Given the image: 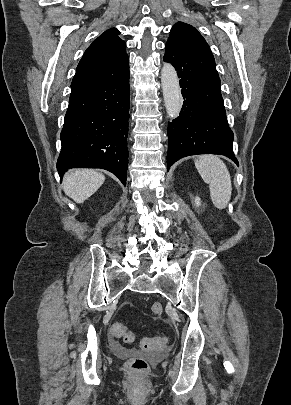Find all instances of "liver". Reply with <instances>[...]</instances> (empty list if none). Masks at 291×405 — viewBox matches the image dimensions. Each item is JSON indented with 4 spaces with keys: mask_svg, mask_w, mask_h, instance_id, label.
I'll return each mask as SVG.
<instances>
[{
    "mask_svg": "<svg viewBox=\"0 0 291 405\" xmlns=\"http://www.w3.org/2000/svg\"><path fill=\"white\" fill-rule=\"evenodd\" d=\"M105 176L93 169H72L64 177L66 195L77 203H83L104 183Z\"/></svg>",
    "mask_w": 291,
    "mask_h": 405,
    "instance_id": "1",
    "label": "liver"
}]
</instances>
